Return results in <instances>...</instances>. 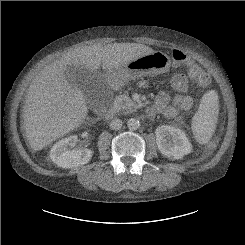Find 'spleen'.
I'll return each instance as SVG.
<instances>
[{"label":"spleen","mask_w":245,"mask_h":245,"mask_svg":"<svg viewBox=\"0 0 245 245\" xmlns=\"http://www.w3.org/2000/svg\"><path fill=\"white\" fill-rule=\"evenodd\" d=\"M218 113V94L215 90H210L203 95L199 109L192 120V131L200 144L207 143L212 137L216 128Z\"/></svg>","instance_id":"3e777b00"}]
</instances>
